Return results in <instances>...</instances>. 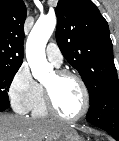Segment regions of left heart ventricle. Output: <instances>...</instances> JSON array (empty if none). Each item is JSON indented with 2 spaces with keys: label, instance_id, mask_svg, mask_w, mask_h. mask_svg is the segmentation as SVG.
I'll use <instances>...</instances> for the list:
<instances>
[{
  "label": "left heart ventricle",
  "instance_id": "b2bd125f",
  "mask_svg": "<svg viewBox=\"0 0 119 141\" xmlns=\"http://www.w3.org/2000/svg\"><path fill=\"white\" fill-rule=\"evenodd\" d=\"M44 85L50 90L54 104L61 114L71 117L81 111L83 93L75 79L58 78L55 73H52Z\"/></svg>",
  "mask_w": 119,
  "mask_h": 141
}]
</instances>
